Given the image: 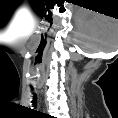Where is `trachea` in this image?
I'll use <instances>...</instances> for the list:
<instances>
[{
  "label": "trachea",
  "instance_id": "obj_1",
  "mask_svg": "<svg viewBox=\"0 0 118 118\" xmlns=\"http://www.w3.org/2000/svg\"><path fill=\"white\" fill-rule=\"evenodd\" d=\"M33 103H34V104L36 103V98H35V96H34V99H33Z\"/></svg>",
  "mask_w": 118,
  "mask_h": 118
}]
</instances>
